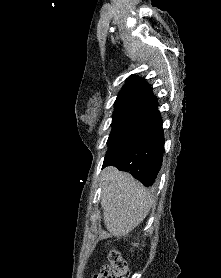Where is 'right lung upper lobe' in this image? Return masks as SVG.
<instances>
[{
    "label": "right lung upper lobe",
    "instance_id": "obj_1",
    "mask_svg": "<svg viewBox=\"0 0 221 278\" xmlns=\"http://www.w3.org/2000/svg\"><path fill=\"white\" fill-rule=\"evenodd\" d=\"M154 98L152 89L143 78L131 75L121 89L114 103V108L119 109L134 104L148 105Z\"/></svg>",
    "mask_w": 221,
    "mask_h": 278
}]
</instances>
